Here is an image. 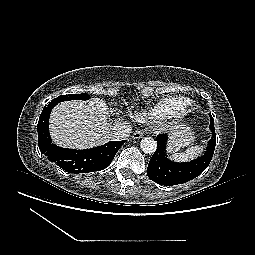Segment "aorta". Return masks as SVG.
Wrapping results in <instances>:
<instances>
[{"instance_id":"762f6f07","label":"aorta","mask_w":255,"mask_h":255,"mask_svg":"<svg viewBox=\"0 0 255 255\" xmlns=\"http://www.w3.org/2000/svg\"><path fill=\"white\" fill-rule=\"evenodd\" d=\"M142 151L146 154H152L157 149V142L151 137H145L140 142Z\"/></svg>"}]
</instances>
